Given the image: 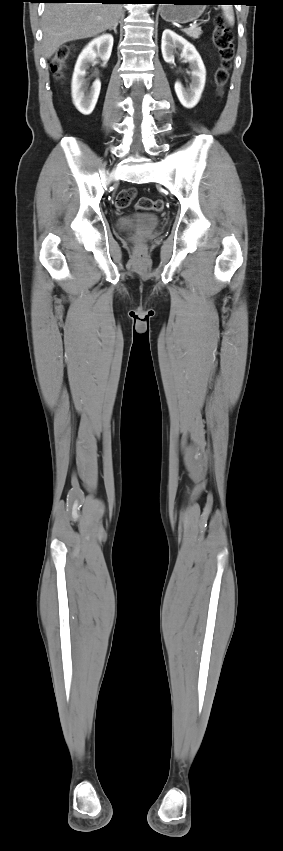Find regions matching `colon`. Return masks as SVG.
<instances>
[{"label": "colon", "instance_id": "colon-1", "mask_svg": "<svg viewBox=\"0 0 283 851\" xmlns=\"http://www.w3.org/2000/svg\"><path fill=\"white\" fill-rule=\"evenodd\" d=\"M213 45L216 48L220 57V66L215 73V81L222 91V88L228 81L231 63L235 54L233 44V34L222 15H218L214 19V30L212 34ZM73 46H62L51 61V70L56 76H61L66 62L71 56ZM136 196L135 188H126L121 190L115 199V205L119 209H125L131 206L132 201ZM164 207V202L160 199L141 198L134 205L137 210H155L160 211ZM142 242L139 241V245Z\"/></svg>", "mask_w": 283, "mask_h": 851}]
</instances>
